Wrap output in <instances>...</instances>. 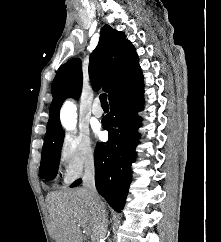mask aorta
Masks as SVG:
<instances>
[{
    "mask_svg": "<svg viewBox=\"0 0 221 242\" xmlns=\"http://www.w3.org/2000/svg\"><path fill=\"white\" fill-rule=\"evenodd\" d=\"M61 122L65 129L71 130L76 125V107L72 101H66L61 109Z\"/></svg>",
    "mask_w": 221,
    "mask_h": 242,
    "instance_id": "1",
    "label": "aorta"
}]
</instances>
